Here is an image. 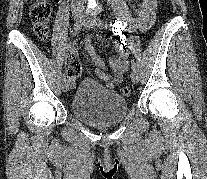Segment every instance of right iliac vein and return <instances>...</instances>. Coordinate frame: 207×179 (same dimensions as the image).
I'll return each mask as SVG.
<instances>
[{"label":"right iliac vein","mask_w":207,"mask_h":179,"mask_svg":"<svg viewBox=\"0 0 207 179\" xmlns=\"http://www.w3.org/2000/svg\"><path fill=\"white\" fill-rule=\"evenodd\" d=\"M72 16H73L75 22L78 23V22L81 21L82 13L81 12H73ZM69 87H70V83L64 81L63 84H62V90H63V92H67L68 89H69Z\"/></svg>","instance_id":"right-iliac-vein-1"}]
</instances>
